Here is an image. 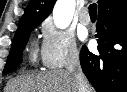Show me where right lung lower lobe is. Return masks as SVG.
Returning a JSON list of instances; mask_svg holds the SVG:
<instances>
[{"label": "right lung lower lobe", "instance_id": "right-lung-lower-lobe-1", "mask_svg": "<svg viewBox=\"0 0 127 92\" xmlns=\"http://www.w3.org/2000/svg\"><path fill=\"white\" fill-rule=\"evenodd\" d=\"M96 28L99 54L83 46L82 70L97 92H127V3L98 12ZM115 44L123 49H114Z\"/></svg>", "mask_w": 127, "mask_h": 92}]
</instances>
